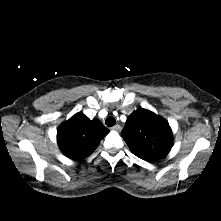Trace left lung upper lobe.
<instances>
[{"mask_svg":"<svg viewBox=\"0 0 221 221\" xmlns=\"http://www.w3.org/2000/svg\"><path fill=\"white\" fill-rule=\"evenodd\" d=\"M121 134L131 152L147 162L165 157L172 148L173 137L168 122L146 109L133 112Z\"/></svg>","mask_w":221,"mask_h":221,"instance_id":"5c2ea615","label":"left lung upper lobe"}]
</instances>
